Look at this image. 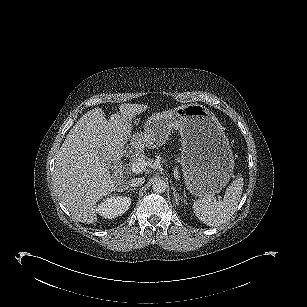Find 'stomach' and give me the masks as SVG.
<instances>
[{
    "label": "stomach",
    "mask_w": 307,
    "mask_h": 307,
    "mask_svg": "<svg viewBox=\"0 0 307 307\" xmlns=\"http://www.w3.org/2000/svg\"><path fill=\"white\" fill-rule=\"evenodd\" d=\"M172 129L181 136L180 164L186 188L196 196L218 193L229 181L233 155L218 119L198 103L152 114L136 140L160 146Z\"/></svg>",
    "instance_id": "0dacf381"
}]
</instances>
